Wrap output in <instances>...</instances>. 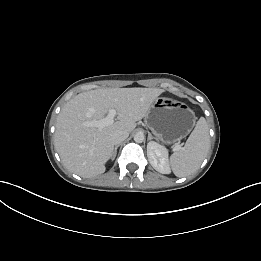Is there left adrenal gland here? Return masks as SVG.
I'll list each match as a JSON object with an SVG mask.
<instances>
[{
  "label": "left adrenal gland",
  "mask_w": 261,
  "mask_h": 261,
  "mask_svg": "<svg viewBox=\"0 0 261 261\" xmlns=\"http://www.w3.org/2000/svg\"><path fill=\"white\" fill-rule=\"evenodd\" d=\"M151 139H153V136L151 135L150 132H148V140H151Z\"/></svg>",
  "instance_id": "obj_1"
}]
</instances>
